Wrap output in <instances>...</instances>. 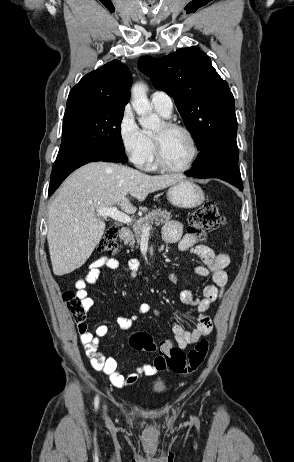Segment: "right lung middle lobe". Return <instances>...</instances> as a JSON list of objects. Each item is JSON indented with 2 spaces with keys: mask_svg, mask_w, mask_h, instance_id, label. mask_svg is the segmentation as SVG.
<instances>
[{
  "mask_svg": "<svg viewBox=\"0 0 294 462\" xmlns=\"http://www.w3.org/2000/svg\"><path fill=\"white\" fill-rule=\"evenodd\" d=\"M124 107L99 103L67 106L57 158L101 149L124 151L120 133Z\"/></svg>",
  "mask_w": 294,
  "mask_h": 462,
  "instance_id": "dd1d6c3e",
  "label": "right lung middle lobe"
}]
</instances>
